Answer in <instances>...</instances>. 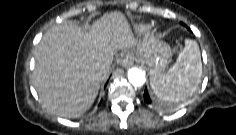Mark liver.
Segmentation results:
<instances>
[{
    "label": "liver",
    "instance_id": "6515ba94",
    "mask_svg": "<svg viewBox=\"0 0 236 135\" xmlns=\"http://www.w3.org/2000/svg\"><path fill=\"white\" fill-rule=\"evenodd\" d=\"M136 44L126 18L117 11L105 14L89 32L72 21L52 27L34 53L32 83L40 102L61 117L84 113L109 73L107 62Z\"/></svg>",
    "mask_w": 236,
    "mask_h": 135
}]
</instances>
